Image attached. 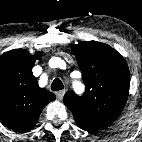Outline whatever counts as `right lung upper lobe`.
Wrapping results in <instances>:
<instances>
[{"label":"right lung upper lobe","instance_id":"obj_1","mask_svg":"<svg viewBox=\"0 0 142 142\" xmlns=\"http://www.w3.org/2000/svg\"><path fill=\"white\" fill-rule=\"evenodd\" d=\"M41 56L14 49L0 57V119L20 133L32 130L42 109L56 98L33 76L32 68Z\"/></svg>","mask_w":142,"mask_h":142}]
</instances>
